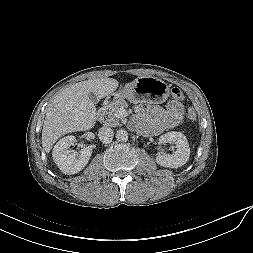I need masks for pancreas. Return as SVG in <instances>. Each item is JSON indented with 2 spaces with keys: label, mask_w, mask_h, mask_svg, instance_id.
<instances>
[{
  "label": "pancreas",
  "mask_w": 253,
  "mask_h": 253,
  "mask_svg": "<svg viewBox=\"0 0 253 253\" xmlns=\"http://www.w3.org/2000/svg\"><path fill=\"white\" fill-rule=\"evenodd\" d=\"M128 107V103L125 100H120L112 105L107 106L102 110L101 117L104 123L108 126L115 127L119 125L118 112Z\"/></svg>",
  "instance_id": "obj_1"
}]
</instances>
